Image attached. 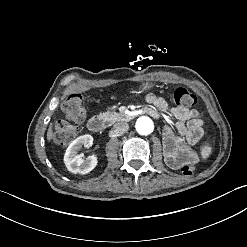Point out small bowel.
<instances>
[{
	"label": "small bowel",
	"mask_w": 247,
	"mask_h": 247,
	"mask_svg": "<svg viewBox=\"0 0 247 247\" xmlns=\"http://www.w3.org/2000/svg\"><path fill=\"white\" fill-rule=\"evenodd\" d=\"M150 104L147 113L157 118L159 110H167L168 104L161 95L150 93L146 97ZM172 124L163 128V147L165 161L172 169H177L175 156L178 152L187 150L191 154V163L199 161L200 157L189 149V145L198 143L203 136L204 121L195 109L178 106L169 109Z\"/></svg>",
	"instance_id": "c3829d8e"
}]
</instances>
